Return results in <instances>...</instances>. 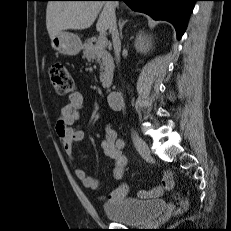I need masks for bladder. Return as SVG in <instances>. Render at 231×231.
<instances>
[{
    "label": "bladder",
    "mask_w": 231,
    "mask_h": 231,
    "mask_svg": "<svg viewBox=\"0 0 231 231\" xmlns=\"http://www.w3.org/2000/svg\"><path fill=\"white\" fill-rule=\"evenodd\" d=\"M163 200L141 201L127 198L103 206L104 213L113 221L128 225H148L165 210Z\"/></svg>",
    "instance_id": "1"
}]
</instances>
